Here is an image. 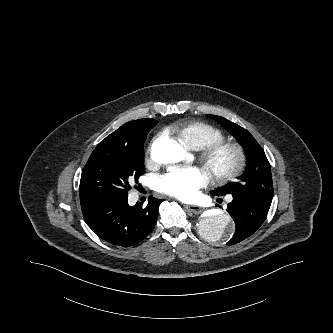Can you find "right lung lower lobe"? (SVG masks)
<instances>
[{
    "label": "right lung lower lobe",
    "mask_w": 333,
    "mask_h": 333,
    "mask_svg": "<svg viewBox=\"0 0 333 333\" xmlns=\"http://www.w3.org/2000/svg\"><path fill=\"white\" fill-rule=\"evenodd\" d=\"M128 196L109 197L81 204L86 224L101 239L129 247L141 242L153 230L161 200L148 199L144 208L128 205Z\"/></svg>",
    "instance_id": "1"
}]
</instances>
